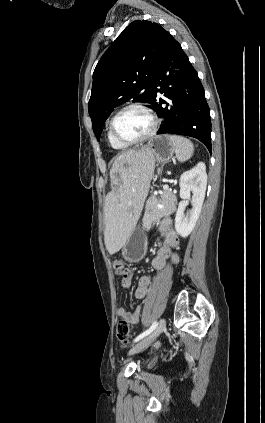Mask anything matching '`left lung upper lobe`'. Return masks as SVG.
Instances as JSON below:
<instances>
[{
  "label": "left lung upper lobe",
  "instance_id": "5c2ea615",
  "mask_svg": "<svg viewBox=\"0 0 265 423\" xmlns=\"http://www.w3.org/2000/svg\"><path fill=\"white\" fill-rule=\"evenodd\" d=\"M168 34L157 23L136 20L101 57L88 105L97 138L116 106L131 99L152 104L151 84Z\"/></svg>",
  "mask_w": 265,
  "mask_h": 423
}]
</instances>
